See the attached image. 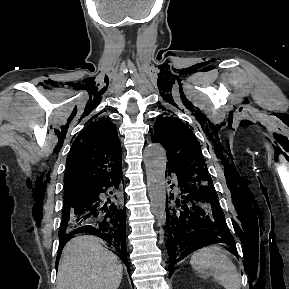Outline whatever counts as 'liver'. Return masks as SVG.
<instances>
[{
	"label": "liver",
	"instance_id": "liver-1",
	"mask_svg": "<svg viewBox=\"0 0 289 289\" xmlns=\"http://www.w3.org/2000/svg\"><path fill=\"white\" fill-rule=\"evenodd\" d=\"M123 266L94 236L78 235L64 247L56 289H117Z\"/></svg>",
	"mask_w": 289,
	"mask_h": 289
}]
</instances>
